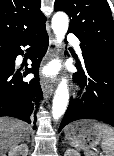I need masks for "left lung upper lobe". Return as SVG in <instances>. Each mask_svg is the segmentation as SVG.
Returning a JSON list of instances; mask_svg holds the SVG:
<instances>
[{
	"label": "left lung upper lobe",
	"instance_id": "obj_1",
	"mask_svg": "<svg viewBox=\"0 0 114 156\" xmlns=\"http://www.w3.org/2000/svg\"><path fill=\"white\" fill-rule=\"evenodd\" d=\"M54 9L68 14V32L77 36L83 49L114 61V21L106 0H56Z\"/></svg>",
	"mask_w": 114,
	"mask_h": 156
}]
</instances>
